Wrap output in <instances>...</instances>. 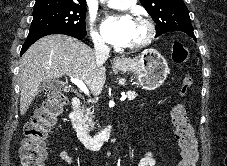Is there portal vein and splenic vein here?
<instances>
[{"instance_id":"obj_1","label":"portal vein and splenic vein","mask_w":227,"mask_h":166,"mask_svg":"<svg viewBox=\"0 0 227 166\" xmlns=\"http://www.w3.org/2000/svg\"><path fill=\"white\" fill-rule=\"evenodd\" d=\"M70 80L73 84H75L80 89V91H82L84 94L89 96V90L86 87V85L83 83L82 80L77 79V78H71ZM126 98H127V96L124 95L120 98V100L124 101Z\"/></svg>"}]
</instances>
